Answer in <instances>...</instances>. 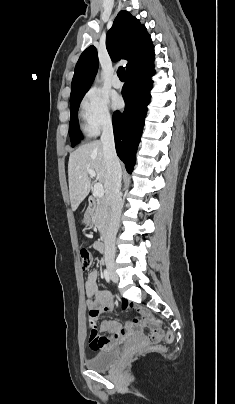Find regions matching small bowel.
I'll return each mask as SVG.
<instances>
[{
  "mask_svg": "<svg viewBox=\"0 0 235 404\" xmlns=\"http://www.w3.org/2000/svg\"><path fill=\"white\" fill-rule=\"evenodd\" d=\"M94 248L98 251H102L103 247L100 242L94 243ZM98 276L99 272L97 270H93L88 274L86 283H85V292L88 298L87 307L89 309V314H95V319L97 315L101 312H112L115 309L114 300L110 293L106 291L99 290L98 287ZM124 310L131 309L132 306L130 302L124 300L121 304ZM137 314L140 317H144L145 310L141 308L135 309ZM131 324H121L115 320H105L100 325V331L108 332L112 334L111 338L103 337L98 335L97 337L104 338L105 342L102 344H96L94 342V338L90 337V345L93 349L98 350L102 347H108L109 345H118L122 343L128 334L132 332Z\"/></svg>",
  "mask_w": 235,
  "mask_h": 404,
  "instance_id": "1",
  "label": "small bowel"
}]
</instances>
